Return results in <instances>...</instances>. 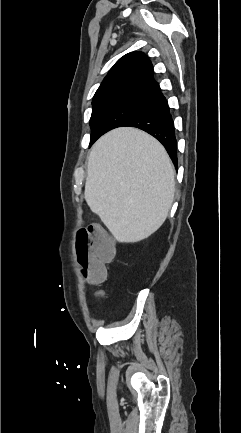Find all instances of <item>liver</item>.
<instances>
[{"label":"liver","instance_id":"1","mask_svg":"<svg viewBox=\"0 0 241 433\" xmlns=\"http://www.w3.org/2000/svg\"><path fill=\"white\" fill-rule=\"evenodd\" d=\"M85 200L120 243L148 238L165 222L175 170L164 147L132 127L114 129L88 156Z\"/></svg>","mask_w":241,"mask_h":433}]
</instances>
